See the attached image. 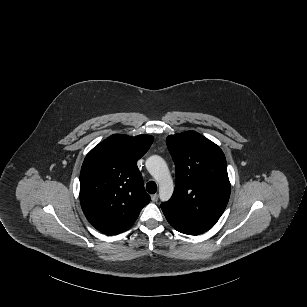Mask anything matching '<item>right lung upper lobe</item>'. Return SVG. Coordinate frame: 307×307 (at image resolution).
Masks as SVG:
<instances>
[{"mask_svg": "<svg viewBox=\"0 0 307 307\" xmlns=\"http://www.w3.org/2000/svg\"><path fill=\"white\" fill-rule=\"evenodd\" d=\"M153 137L115 134L85 157L80 172V202L88 221L108 235L124 232L150 202L137 167Z\"/></svg>", "mask_w": 307, "mask_h": 307, "instance_id": "obj_1", "label": "right lung upper lobe"}]
</instances>
